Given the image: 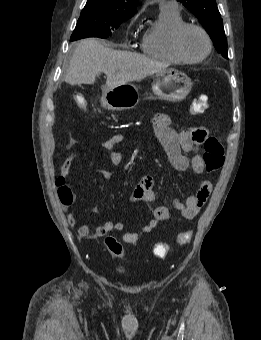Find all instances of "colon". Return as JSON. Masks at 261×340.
Segmentation results:
<instances>
[{"mask_svg":"<svg viewBox=\"0 0 261 340\" xmlns=\"http://www.w3.org/2000/svg\"><path fill=\"white\" fill-rule=\"evenodd\" d=\"M77 104L80 108L84 109L86 107L84 100H78ZM208 107L207 97L202 95L195 99L190 106L189 112L192 115H199L203 113ZM225 155L224 147L220 140L216 137H209L204 143V155L203 161L205 169L208 172L217 171L224 164ZM57 193L60 202L63 206L68 207L74 201V192L65 179L60 177L56 181ZM191 240V232L184 231L178 234L176 242L180 245L187 244ZM105 246L108 251L115 257H123L124 249L122 245L113 237H107L105 239ZM170 252V245L167 243H157L153 248V254L159 259H164Z\"/></svg>","mask_w":261,"mask_h":340,"instance_id":"obj_1","label":"colon"}]
</instances>
